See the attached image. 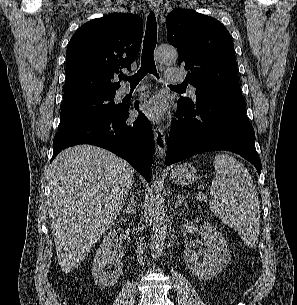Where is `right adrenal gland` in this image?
Returning <instances> with one entry per match:
<instances>
[{
  "label": "right adrenal gland",
  "mask_w": 297,
  "mask_h": 305,
  "mask_svg": "<svg viewBox=\"0 0 297 305\" xmlns=\"http://www.w3.org/2000/svg\"><path fill=\"white\" fill-rule=\"evenodd\" d=\"M130 195H131V197H130L129 204L126 208H124L122 213L123 214H128V215H134L135 212H136V202H135V199H134V194L131 192Z\"/></svg>",
  "instance_id": "obj_1"
}]
</instances>
